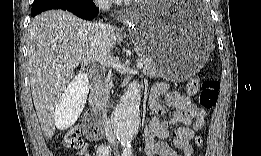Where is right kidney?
I'll return each mask as SVG.
<instances>
[{"mask_svg": "<svg viewBox=\"0 0 261 156\" xmlns=\"http://www.w3.org/2000/svg\"><path fill=\"white\" fill-rule=\"evenodd\" d=\"M82 78H83V79H87V77H86V76H83ZM69 87H70V86H69Z\"/></svg>", "mask_w": 261, "mask_h": 156, "instance_id": "1", "label": "right kidney"}]
</instances>
